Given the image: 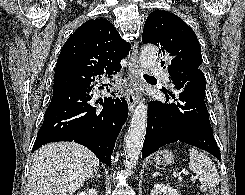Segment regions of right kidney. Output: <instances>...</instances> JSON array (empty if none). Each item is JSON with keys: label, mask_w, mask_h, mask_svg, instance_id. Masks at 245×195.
<instances>
[{"label": "right kidney", "mask_w": 245, "mask_h": 195, "mask_svg": "<svg viewBox=\"0 0 245 195\" xmlns=\"http://www.w3.org/2000/svg\"><path fill=\"white\" fill-rule=\"evenodd\" d=\"M76 195H97V191L95 189H89L87 191L80 192Z\"/></svg>", "instance_id": "ca27d5eb"}]
</instances>
